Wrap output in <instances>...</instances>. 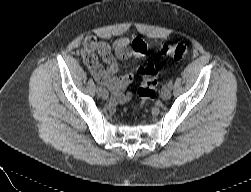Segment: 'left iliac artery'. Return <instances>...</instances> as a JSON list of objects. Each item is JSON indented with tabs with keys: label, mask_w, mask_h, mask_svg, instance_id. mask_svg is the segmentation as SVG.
<instances>
[{
	"label": "left iliac artery",
	"mask_w": 251,
	"mask_h": 192,
	"mask_svg": "<svg viewBox=\"0 0 251 192\" xmlns=\"http://www.w3.org/2000/svg\"><path fill=\"white\" fill-rule=\"evenodd\" d=\"M167 86H169L170 88H172V86H173V80H170V81L167 83Z\"/></svg>",
	"instance_id": "left-iliac-artery-1"
}]
</instances>
